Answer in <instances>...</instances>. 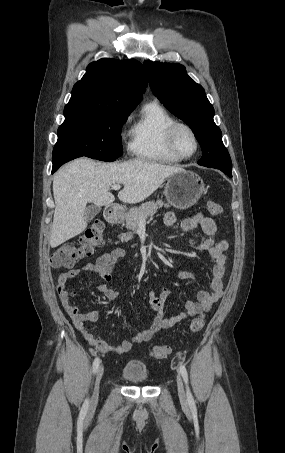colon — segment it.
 <instances>
[{
  "label": "colon",
  "mask_w": 285,
  "mask_h": 453,
  "mask_svg": "<svg viewBox=\"0 0 285 453\" xmlns=\"http://www.w3.org/2000/svg\"><path fill=\"white\" fill-rule=\"evenodd\" d=\"M207 209L210 215L218 216L222 212L221 206L216 202H208ZM104 225L101 221L95 220L86 229L84 234L77 239L62 244L51 256V265L54 268L71 267L79 260L90 256L94 248L102 242ZM205 324L203 314L195 317L191 324L192 332H199ZM171 352L167 345H157L151 351V356L155 360L166 358Z\"/></svg>",
  "instance_id": "1"
}]
</instances>
